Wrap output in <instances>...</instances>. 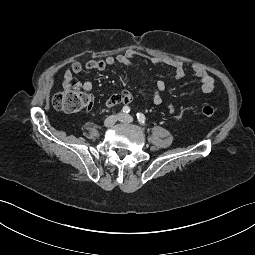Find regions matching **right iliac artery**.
<instances>
[{"instance_id": "1", "label": "right iliac artery", "mask_w": 255, "mask_h": 255, "mask_svg": "<svg viewBox=\"0 0 255 255\" xmlns=\"http://www.w3.org/2000/svg\"><path fill=\"white\" fill-rule=\"evenodd\" d=\"M122 111H123V113L127 114L130 112V108L128 106H124Z\"/></svg>"}]
</instances>
